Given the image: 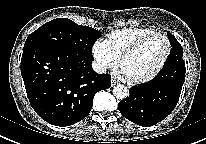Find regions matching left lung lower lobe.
Listing matches in <instances>:
<instances>
[{"label":"left lung lower lobe","mask_w":206,"mask_h":144,"mask_svg":"<svg viewBox=\"0 0 206 144\" xmlns=\"http://www.w3.org/2000/svg\"><path fill=\"white\" fill-rule=\"evenodd\" d=\"M185 81V63L164 65L150 82L131 88L118 109L131 122L150 127L165 119L175 108Z\"/></svg>","instance_id":"obj_1"}]
</instances>
